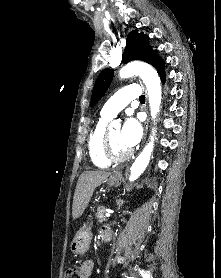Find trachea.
<instances>
[{
  "mask_svg": "<svg viewBox=\"0 0 221 278\" xmlns=\"http://www.w3.org/2000/svg\"><path fill=\"white\" fill-rule=\"evenodd\" d=\"M139 100H140L141 102H144V101H145V96H144V95L140 96V97H139Z\"/></svg>",
  "mask_w": 221,
  "mask_h": 278,
  "instance_id": "3493384b",
  "label": "trachea"
}]
</instances>
